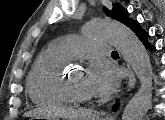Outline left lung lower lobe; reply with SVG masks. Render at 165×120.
<instances>
[{"mask_svg":"<svg viewBox=\"0 0 165 120\" xmlns=\"http://www.w3.org/2000/svg\"><path fill=\"white\" fill-rule=\"evenodd\" d=\"M129 28L133 30V32L138 36V38L141 41H143L145 46H147L151 51L155 49L154 46H152L151 44L147 42V38L149 35L147 32L143 31L140 28L139 23L137 21L133 20L131 24L129 25ZM117 108H118V103L113 106V110L116 111Z\"/></svg>","mask_w":165,"mask_h":120,"instance_id":"obj_1","label":"left lung lower lobe"}]
</instances>
